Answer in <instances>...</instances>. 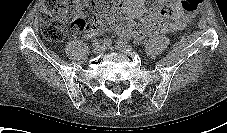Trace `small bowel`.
<instances>
[{
	"instance_id": "1",
	"label": "small bowel",
	"mask_w": 227,
	"mask_h": 133,
	"mask_svg": "<svg viewBox=\"0 0 227 133\" xmlns=\"http://www.w3.org/2000/svg\"><path fill=\"white\" fill-rule=\"evenodd\" d=\"M160 5L157 9L146 10L144 0H123L121 9L116 18L122 23L115 27L121 36H131L138 41L148 35L156 33H171L184 29L191 17L181 10L178 0H157ZM159 19H166L160 22ZM110 26V25H109ZM107 29H94L86 33L88 38H95Z\"/></svg>"
}]
</instances>
